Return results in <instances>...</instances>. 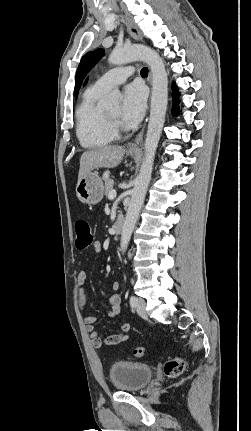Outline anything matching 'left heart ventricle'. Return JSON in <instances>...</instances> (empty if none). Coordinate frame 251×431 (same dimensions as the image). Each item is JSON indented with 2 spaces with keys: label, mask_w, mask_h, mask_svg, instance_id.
Returning <instances> with one entry per match:
<instances>
[{
  "label": "left heart ventricle",
  "mask_w": 251,
  "mask_h": 431,
  "mask_svg": "<svg viewBox=\"0 0 251 431\" xmlns=\"http://www.w3.org/2000/svg\"><path fill=\"white\" fill-rule=\"evenodd\" d=\"M107 113L113 117L119 118L121 116V108L119 106L114 107V108L108 110Z\"/></svg>",
  "instance_id": "1"
}]
</instances>
